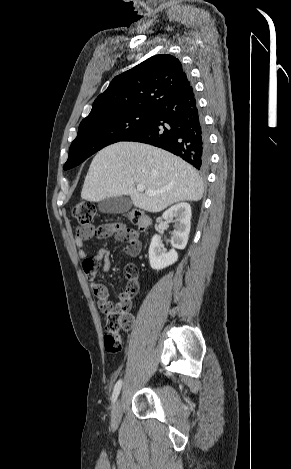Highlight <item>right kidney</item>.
<instances>
[{"mask_svg": "<svg viewBox=\"0 0 291 469\" xmlns=\"http://www.w3.org/2000/svg\"><path fill=\"white\" fill-rule=\"evenodd\" d=\"M191 207L188 203H178L166 210L162 217L166 222L174 220L175 229L171 238L172 249L165 252L161 238L154 235L149 247V262L152 269L161 270L175 263L178 253L175 249H184L187 245L191 227Z\"/></svg>", "mask_w": 291, "mask_h": 469, "instance_id": "obj_1", "label": "right kidney"}]
</instances>
